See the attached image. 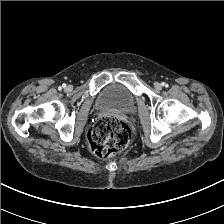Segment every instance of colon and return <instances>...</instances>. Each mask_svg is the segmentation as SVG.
Returning a JSON list of instances; mask_svg holds the SVG:
<instances>
[{
	"mask_svg": "<svg viewBox=\"0 0 224 224\" xmlns=\"http://www.w3.org/2000/svg\"><path fill=\"white\" fill-rule=\"evenodd\" d=\"M130 138L131 130L123 120L101 117L89 132V150L101 159L115 157L128 146Z\"/></svg>",
	"mask_w": 224,
	"mask_h": 224,
	"instance_id": "5ec220e1",
	"label": "colon"
}]
</instances>
